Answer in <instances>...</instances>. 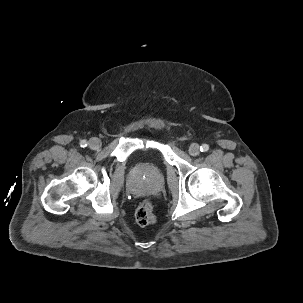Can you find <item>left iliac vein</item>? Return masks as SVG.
I'll return each instance as SVG.
<instances>
[{
  "instance_id": "left-iliac-vein-1",
  "label": "left iliac vein",
  "mask_w": 303,
  "mask_h": 303,
  "mask_svg": "<svg viewBox=\"0 0 303 303\" xmlns=\"http://www.w3.org/2000/svg\"><path fill=\"white\" fill-rule=\"evenodd\" d=\"M200 153V147L198 144L194 143L189 147V154L191 156H197Z\"/></svg>"
}]
</instances>
